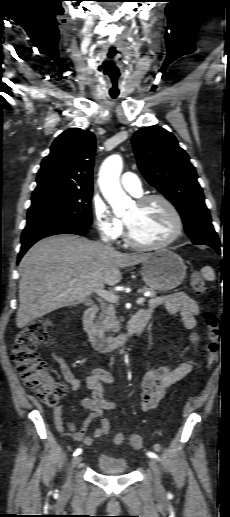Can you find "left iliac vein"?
I'll return each mask as SVG.
<instances>
[{
    "instance_id": "1",
    "label": "left iliac vein",
    "mask_w": 230,
    "mask_h": 517,
    "mask_svg": "<svg viewBox=\"0 0 230 517\" xmlns=\"http://www.w3.org/2000/svg\"><path fill=\"white\" fill-rule=\"evenodd\" d=\"M149 467L152 471L153 479H154V489L156 493L162 494L164 492V488L161 483V478L159 474V466L155 459L149 460Z\"/></svg>"
}]
</instances>
